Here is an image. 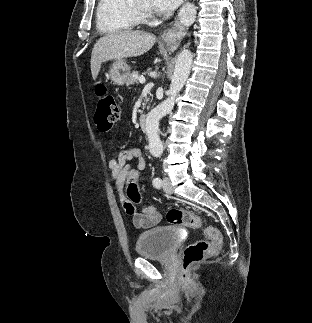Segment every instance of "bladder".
Wrapping results in <instances>:
<instances>
[{"label":"bladder","instance_id":"1","mask_svg":"<svg viewBox=\"0 0 312 323\" xmlns=\"http://www.w3.org/2000/svg\"><path fill=\"white\" fill-rule=\"evenodd\" d=\"M181 240L173 227H157L138 235L136 241L139 256L166 259L175 252Z\"/></svg>","mask_w":312,"mask_h":323}]
</instances>
